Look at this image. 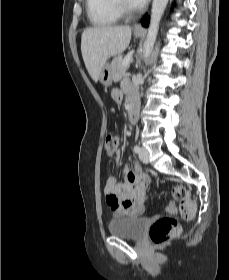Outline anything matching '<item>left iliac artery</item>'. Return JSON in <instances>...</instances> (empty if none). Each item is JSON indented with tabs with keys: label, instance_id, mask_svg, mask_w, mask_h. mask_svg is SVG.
<instances>
[{
	"label": "left iliac artery",
	"instance_id": "left-iliac-artery-1",
	"mask_svg": "<svg viewBox=\"0 0 229 280\" xmlns=\"http://www.w3.org/2000/svg\"><path fill=\"white\" fill-rule=\"evenodd\" d=\"M135 153H139L140 152V147L138 145H135L133 148Z\"/></svg>",
	"mask_w": 229,
	"mask_h": 280
}]
</instances>
